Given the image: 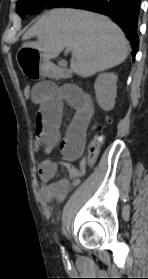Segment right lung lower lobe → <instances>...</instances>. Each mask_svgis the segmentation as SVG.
<instances>
[{"mask_svg":"<svg viewBox=\"0 0 148 279\" xmlns=\"http://www.w3.org/2000/svg\"><path fill=\"white\" fill-rule=\"evenodd\" d=\"M71 7L86 9L107 15L126 33L131 45L133 59L138 50V18L140 0H55L47 8Z\"/></svg>","mask_w":148,"mask_h":279,"instance_id":"1","label":"right lung lower lobe"}]
</instances>
